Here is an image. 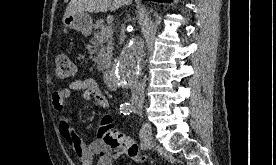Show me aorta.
<instances>
[{
    "label": "aorta",
    "instance_id": "762f6f07",
    "mask_svg": "<svg viewBox=\"0 0 276 165\" xmlns=\"http://www.w3.org/2000/svg\"><path fill=\"white\" fill-rule=\"evenodd\" d=\"M140 44L131 38L125 45L123 55L116 65L115 74L121 83L129 80L140 71L142 61L139 56Z\"/></svg>",
    "mask_w": 276,
    "mask_h": 165
}]
</instances>
